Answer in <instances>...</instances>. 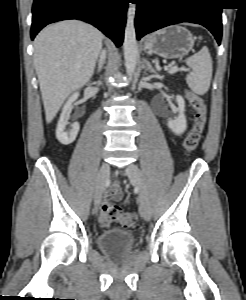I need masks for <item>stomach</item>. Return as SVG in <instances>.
Masks as SVG:
<instances>
[{
  "mask_svg": "<svg viewBox=\"0 0 246 300\" xmlns=\"http://www.w3.org/2000/svg\"><path fill=\"white\" fill-rule=\"evenodd\" d=\"M195 38L192 33L180 25H171L147 36L144 50L148 54H157L163 58H179L193 48Z\"/></svg>",
  "mask_w": 246,
  "mask_h": 300,
  "instance_id": "1",
  "label": "stomach"
}]
</instances>
